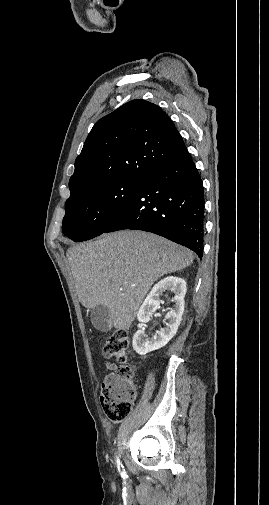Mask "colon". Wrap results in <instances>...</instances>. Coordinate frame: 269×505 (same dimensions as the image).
I'll return each instance as SVG.
<instances>
[{
    "instance_id": "obj_1",
    "label": "colon",
    "mask_w": 269,
    "mask_h": 505,
    "mask_svg": "<svg viewBox=\"0 0 269 505\" xmlns=\"http://www.w3.org/2000/svg\"><path fill=\"white\" fill-rule=\"evenodd\" d=\"M129 343V333L117 330L103 345L104 356L120 364L116 373L107 376L101 385L100 402L107 418L113 423H119L129 415L136 399L133 372L126 365Z\"/></svg>"
}]
</instances>
